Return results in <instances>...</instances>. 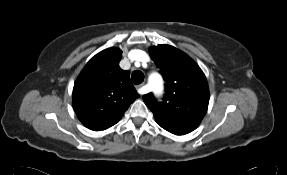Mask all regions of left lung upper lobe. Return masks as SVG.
Listing matches in <instances>:
<instances>
[{
    "instance_id": "left-lung-upper-lobe-1",
    "label": "left lung upper lobe",
    "mask_w": 287,
    "mask_h": 175,
    "mask_svg": "<svg viewBox=\"0 0 287 175\" xmlns=\"http://www.w3.org/2000/svg\"><path fill=\"white\" fill-rule=\"evenodd\" d=\"M166 84L163 102L152 93L143 96L158 125L184 135L196 129L207 112L209 88L200 67L187 54L170 45L149 50Z\"/></svg>"
}]
</instances>
